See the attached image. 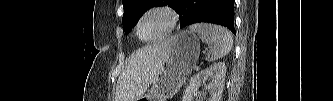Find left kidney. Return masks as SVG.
<instances>
[{
    "mask_svg": "<svg viewBox=\"0 0 333 101\" xmlns=\"http://www.w3.org/2000/svg\"><path fill=\"white\" fill-rule=\"evenodd\" d=\"M226 65L224 62H218L206 69L200 71L192 79L185 90L183 101H193V95L197 94L199 87L209 90L207 101H220L225 81ZM206 79L209 83L206 84ZM199 101H203L202 98Z\"/></svg>",
    "mask_w": 333,
    "mask_h": 101,
    "instance_id": "1",
    "label": "left kidney"
}]
</instances>
